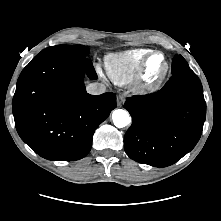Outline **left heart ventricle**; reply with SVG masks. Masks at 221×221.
<instances>
[{
    "mask_svg": "<svg viewBox=\"0 0 221 221\" xmlns=\"http://www.w3.org/2000/svg\"><path fill=\"white\" fill-rule=\"evenodd\" d=\"M164 69V59L161 55L153 56L148 64V76L150 78L156 77Z\"/></svg>",
    "mask_w": 221,
    "mask_h": 221,
    "instance_id": "1",
    "label": "left heart ventricle"
}]
</instances>
